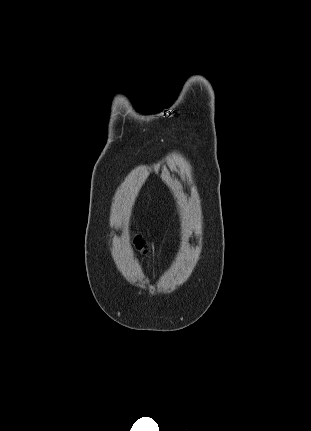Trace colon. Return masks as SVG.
I'll return each mask as SVG.
<instances>
[{"mask_svg":"<svg viewBox=\"0 0 311 431\" xmlns=\"http://www.w3.org/2000/svg\"><path fill=\"white\" fill-rule=\"evenodd\" d=\"M136 247H137V249H139V250H142L143 249V247H144V242L143 241H141V240H139V239H136Z\"/></svg>","mask_w":311,"mask_h":431,"instance_id":"colon-1","label":"colon"}]
</instances>
